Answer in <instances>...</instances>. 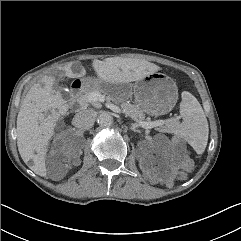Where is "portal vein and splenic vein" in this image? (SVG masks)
Returning a JSON list of instances; mask_svg holds the SVG:
<instances>
[{
  "label": "portal vein and splenic vein",
  "mask_w": 241,
  "mask_h": 241,
  "mask_svg": "<svg viewBox=\"0 0 241 241\" xmlns=\"http://www.w3.org/2000/svg\"><path fill=\"white\" fill-rule=\"evenodd\" d=\"M89 99L92 102H104L105 97L100 93L94 92V93L90 94ZM107 107L114 112H117V113L121 112L120 108L117 107L116 105L107 104ZM136 121H137L138 125L144 129H151L154 127L162 126L166 123V120H157L154 122H145V121H138V120H136Z\"/></svg>",
  "instance_id": "18ae733b"
}]
</instances>
